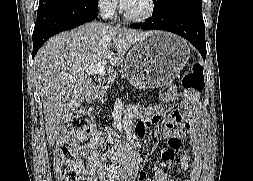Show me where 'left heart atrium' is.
Segmentation results:
<instances>
[{"label":"left heart atrium","mask_w":253,"mask_h":181,"mask_svg":"<svg viewBox=\"0 0 253 181\" xmlns=\"http://www.w3.org/2000/svg\"><path fill=\"white\" fill-rule=\"evenodd\" d=\"M118 1L121 7L126 10L131 5L133 0H118Z\"/></svg>","instance_id":"1"}]
</instances>
